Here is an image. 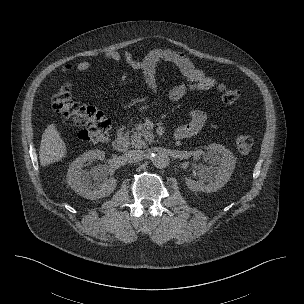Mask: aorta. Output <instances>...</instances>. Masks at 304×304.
<instances>
[{"mask_svg": "<svg viewBox=\"0 0 304 304\" xmlns=\"http://www.w3.org/2000/svg\"><path fill=\"white\" fill-rule=\"evenodd\" d=\"M151 160L153 165L159 169L167 167L170 163V158L168 157L167 154L163 152L154 154Z\"/></svg>", "mask_w": 304, "mask_h": 304, "instance_id": "aorta-1", "label": "aorta"}]
</instances>
